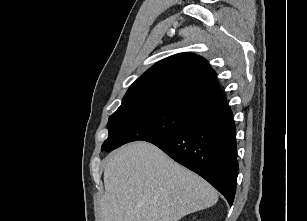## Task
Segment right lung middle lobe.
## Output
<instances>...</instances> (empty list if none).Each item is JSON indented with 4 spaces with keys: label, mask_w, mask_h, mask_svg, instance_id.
<instances>
[{
    "label": "right lung middle lobe",
    "mask_w": 307,
    "mask_h": 221,
    "mask_svg": "<svg viewBox=\"0 0 307 221\" xmlns=\"http://www.w3.org/2000/svg\"><path fill=\"white\" fill-rule=\"evenodd\" d=\"M209 109L184 102L143 99L122 102L108 121L109 136L101 150L110 151L137 140L148 141L188 126Z\"/></svg>",
    "instance_id": "right-lung-middle-lobe-1"
}]
</instances>
